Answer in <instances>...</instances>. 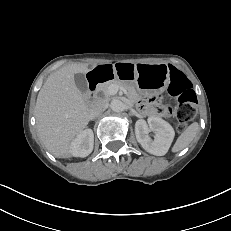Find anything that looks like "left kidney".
<instances>
[{
    "instance_id": "1",
    "label": "left kidney",
    "mask_w": 231,
    "mask_h": 231,
    "mask_svg": "<svg viewBox=\"0 0 231 231\" xmlns=\"http://www.w3.org/2000/svg\"><path fill=\"white\" fill-rule=\"evenodd\" d=\"M150 131L155 132L154 140L149 136ZM135 135L143 149L153 155L163 156L168 152L175 132L168 122L152 116L148 118V124L143 119L136 121Z\"/></svg>"
}]
</instances>
